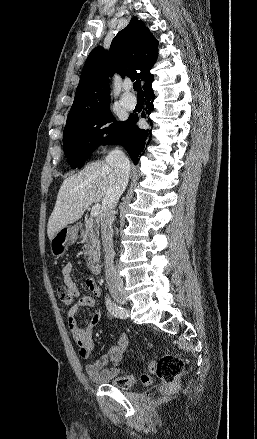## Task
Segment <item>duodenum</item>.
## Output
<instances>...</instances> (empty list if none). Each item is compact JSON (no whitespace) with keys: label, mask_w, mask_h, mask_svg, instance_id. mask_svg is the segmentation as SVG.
Here are the masks:
<instances>
[{"label":"duodenum","mask_w":257,"mask_h":439,"mask_svg":"<svg viewBox=\"0 0 257 439\" xmlns=\"http://www.w3.org/2000/svg\"><path fill=\"white\" fill-rule=\"evenodd\" d=\"M91 271L94 275H98L100 273V264L96 261L90 263Z\"/></svg>","instance_id":"obj_1"}]
</instances>
